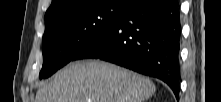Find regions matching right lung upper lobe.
I'll list each match as a JSON object with an SVG mask.
<instances>
[{"label":"right lung upper lobe","instance_id":"1","mask_svg":"<svg viewBox=\"0 0 221 102\" xmlns=\"http://www.w3.org/2000/svg\"><path fill=\"white\" fill-rule=\"evenodd\" d=\"M81 1L84 0H52L51 6L46 11L45 20ZM130 1L134 3L136 0Z\"/></svg>","mask_w":221,"mask_h":102}]
</instances>
